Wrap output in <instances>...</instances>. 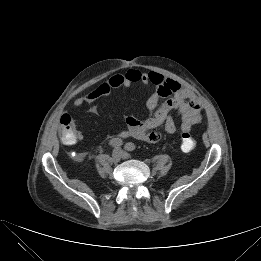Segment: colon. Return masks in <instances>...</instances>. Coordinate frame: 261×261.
Returning a JSON list of instances; mask_svg holds the SVG:
<instances>
[{
  "mask_svg": "<svg viewBox=\"0 0 261 261\" xmlns=\"http://www.w3.org/2000/svg\"><path fill=\"white\" fill-rule=\"evenodd\" d=\"M61 124V137L64 143L71 144L76 138V130L74 121L68 114H63L60 118ZM196 146L195 139L189 132H184L181 135V148L184 152L192 151Z\"/></svg>",
  "mask_w": 261,
  "mask_h": 261,
  "instance_id": "5ec220e1",
  "label": "colon"
}]
</instances>
